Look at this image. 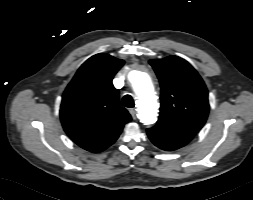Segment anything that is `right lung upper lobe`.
I'll list each match as a JSON object with an SVG mask.
<instances>
[{
	"label": "right lung upper lobe",
	"instance_id": "obj_1",
	"mask_svg": "<svg viewBox=\"0 0 253 200\" xmlns=\"http://www.w3.org/2000/svg\"><path fill=\"white\" fill-rule=\"evenodd\" d=\"M123 64V60L108 54H96L81 65L63 94V128L77 145L92 153L112 145L131 120L112 84Z\"/></svg>",
	"mask_w": 253,
	"mask_h": 200
}]
</instances>
